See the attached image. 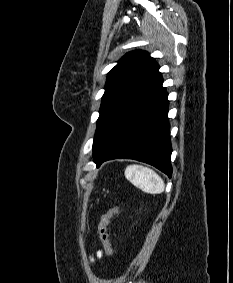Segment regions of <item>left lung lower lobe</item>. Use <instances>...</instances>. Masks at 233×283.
I'll list each match as a JSON object with an SVG mask.
<instances>
[{"label":"left lung lower lobe","mask_w":233,"mask_h":283,"mask_svg":"<svg viewBox=\"0 0 233 283\" xmlns=\"http://www.w3.org/2000/svg\"><path fill=\"white\" fill-rule=\"evenodd\" d=\"M158 71L121 118L103 145L93 154L97 167L116 158L135 159L172 175L168 122V94Z\"/></svg>","instance_id":"0a47b994"}]
</instances>
